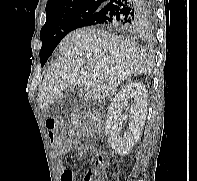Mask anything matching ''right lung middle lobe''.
Segmentation results:
<instances>
[{"label": "right lung middle lobe", "mask_w": 197, "mask_h": 181, "mask_svg": "<svg viewBox=\"0 0 197 181\" xmlns=\"http://www.w3.org/2000/svg\"><path fill=\"white\" fill-rule=\"evenodd\" d=\"M102 6L98 4L83 5L63 12L46 15V23L40 31L42 47L40 62L43 67L59 42L89 16L95 14Z\"/></svg>", "instance_id": "obj_1"}]
</instances>
